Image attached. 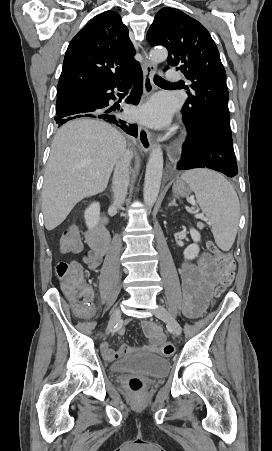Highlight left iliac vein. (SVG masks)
<instances>
[{
    "mask_svg": "<svg viewBox=\"0 0 272 451\" xmlns=\"http://www.w3.org/2000/svg\"><path fill=\"white\" fill-rule=\"evenodd\" d=\"M154 313L158 318L164 320L168 324V326L173 330V333L176 336L181 335L182 329L180 324L165 307L159 305Z\"/></svg>",
    "mask_w": 272,
    "mask_h": 451,
    "instance_id": "left-iliac-vein-1",
    "label": "left iliac vein"
}]
</instances>
